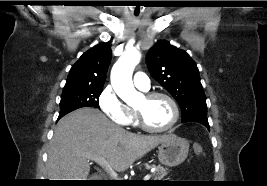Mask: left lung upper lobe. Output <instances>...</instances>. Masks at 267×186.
<instances>
[{
  "mask_svg": "<svg viewBox=\"0 0 267 186\" xmlns=\"http://www.w3.org/2000/svg\"><path fill=\"white\" fill-rule=\"evenodd\" d=\"M151 76L178 102L182 122L208 123L205 93L194 60L168 41H158L147 54Z\"/></svg>",
  "mask_w": 267,
  "mask_h": 186,
  "instance_id": "left-lung-upper-lobe-1",
  "label": "left lung upper lobe"
}]
</instances>
